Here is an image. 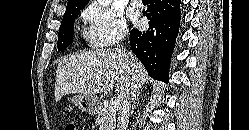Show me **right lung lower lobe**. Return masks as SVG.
Returning a JSON list of instances; mask_svg holds the SVG:
<instances>
[{
    "instance_id": "1",
    "label": "right lung lower lobe",
    "mask_w": 249,
    "mask_h": 130,
    "mask_svg": "<svg viewBox=\"0 0 249 130\" xmlns=\"http://www.w3.org/2000/svg\"><path fill=\"white\" fill-rule=\"evenodd\" d=\"M180 14V0H150V5L143 12L149 20V29L146 32L135 29L130 32L132 52L154 79L168 81Z\"/></svg>"
}]
</instances>
